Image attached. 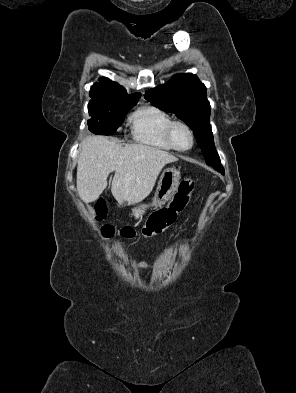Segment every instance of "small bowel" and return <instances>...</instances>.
I'll use <instances>...</instances> for the list:
<instances>
[{
    "instance_id": "1",
    "label": "small bowel",
    "mask_w": 296,
    "mask_h": 393,
    "mask_svg": "<svg viewBox=\"0 0 296 393\" xmlns=\"http://www.w3.org/2000/svg\"><path fill=\"white\" fill-rule=\"evenodd\" d=\"M137 266H138L139 268H142V269H145V270H149V269H150L149 264H148L147 262H144V261L139 262V263L137 264Z\"/></svg>"
}]
</instances>
